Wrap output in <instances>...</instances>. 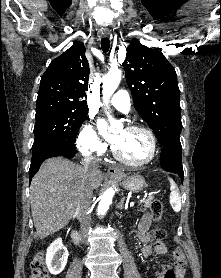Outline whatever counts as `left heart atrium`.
<instances>
[{"instance_id": "39dd6f15", "label": "left heart atrium", "mask_w": 221, "mask_h": 278, "mask_svg": "<svg viewBox=\"0 0 221 278\" xmlns=\"http://www.w3.org/2000/svg\"><path fill=\"white\" fill-rule=\"evenodd\" d=\"M107 138L114 145H117L121 140V136L118 135V134H116V135H107Z\"/></svg>"}]
</instances>
